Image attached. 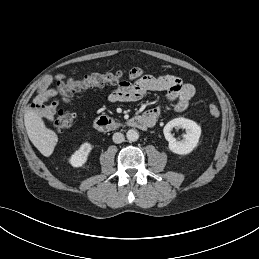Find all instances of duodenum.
<instances>
[{
	"label": "duodenum",
	"mask_w": 259,
	"mask_h": 259,
	"mask_svg": "<svg viewBox=\"0 0 259 259\" xmlns=\"http://www.w3.org/2000/svg\"><path fill=\"white\" fill-rule=\"evenodd\" d=\"M154 124L155 120L146 115L134 117L126 123L127 126L136 127L139 129H147ZM94 127L98 131L109 132L118 129L120 125L107 116H100L95 119Z\"/></svg>",
	"instance_id": "duodenum-1"
}]
</instances>
